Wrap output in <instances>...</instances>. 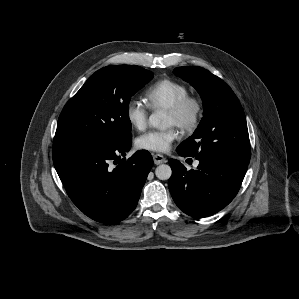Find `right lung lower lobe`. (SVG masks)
Listing matches in <instances>:
<instances>
[{
  "label": "right lung lower lobe",
  "mask_w": 299,
  "mask_h": 299,
  "mask_svg": "<svg viewBox=\"0 0 299 299\" xmlns=\"http://www.w3.org/2000/svg\"><path fill=\"white\" fill-rule=\"evenodd\" d=\"M131 142L132 137L107 144L54 139L53 163L67 194L95 221L118 223L138 203L153 159L146 150L121 159Z\"/></svg>",
  "instance_id": "right-lung-lower-lobe-1"
}]
</instances>
